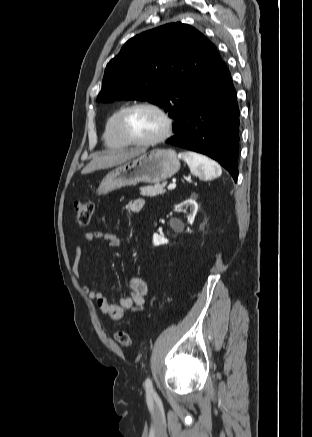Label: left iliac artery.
I'll list each match as a JSON object with an SVG mask.
<instances>
[{
    "label": "left iliac artery",
    "instance_id": "44dca946",
    "mask_svg": "<svg viewBox=\"0 0 312 437\" xmlns=\"http://www.w3.org/2000/svg\"><path fill=\"white\" fill-rule=\"evenodd\" d=\"M145 390H146L147 396H152L155 393L152 381L149 377L145 381Z\"/></svg>",
    "mask_w": 312,
    "mask_h": 437
}]
</instances>
